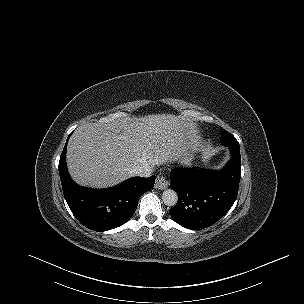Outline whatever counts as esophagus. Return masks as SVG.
<instances>
[{"label":"esophagus","instance_id":"obj_1","mask_svg":"<svg viewBox=\"0 0 304 304\" xmlns=\"http://www.w3.org/2000/svg\"><path fill=\"white\" fill-rule=\"evenodd\" d=\"M168 180L164 175H158L155 181V188L159 190L166 189L168 187Z\"/></svg>","mask_w":304,"mask_h":304}]
</instances>
